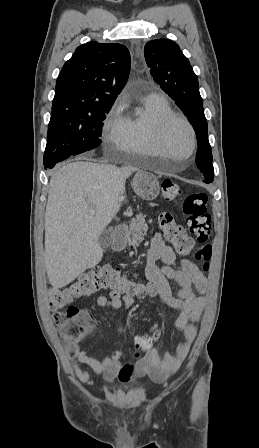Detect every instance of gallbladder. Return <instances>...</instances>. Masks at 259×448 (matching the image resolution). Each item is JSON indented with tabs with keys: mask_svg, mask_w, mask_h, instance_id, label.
Segmentation results:
<instances>
[{
	"mask_svg": "<svg viewBox=\"0 0 259 448\" xmlns=\"http://www.w3.org/2000/svg\"><path fill=\"white\" fill-rule=\"evenodd\" d=\"M113 228H109V230H103L101 236L98 238V244L100 248H110L113 242L112 236Z\"/></svg>",
	"mask_w": 259,
	"mask_h": 448,
	"instance_id": "1",
	"label": "gallbladder"
}]
</instances>
